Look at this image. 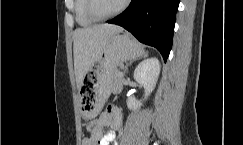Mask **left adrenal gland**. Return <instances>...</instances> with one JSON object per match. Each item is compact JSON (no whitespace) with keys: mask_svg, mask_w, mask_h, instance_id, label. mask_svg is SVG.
Instances as JSON below:
<instances>
[{"mask_svg":"<svg viewBox=\"0 0 243 145\" xmlns=\"http://www.w3.org/2000/svg\"><path fill=\"white\" fill-rule=\"evenodd\" d=\"M131 64H132V62H130L129 64H127V65L125 66V70H124L125 73L127 72L128 66L131 65Z\"/></svg>","mask_w":243,"mask_h":145,"instance_id":"obj_1","label":"left adrenal gland"}]
</instances>
